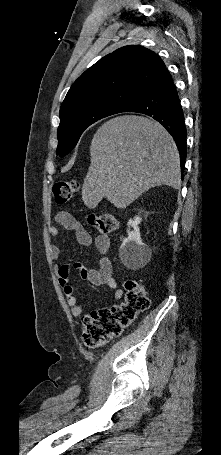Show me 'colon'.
Returning a JSON list of instances; mask_svg holds the SVG:
<instances>
[{
  "mask_svg": "<svg viewBox=\"0 0 221 455\" xmlns=\"http://www.w3.org/2000/svg\"><path fill=\"white\" fill-rule=\"evenodd\" d=\"M76 180H64L53 186L52 193L57 205L68 203L78 192ZM88 223L99 233L109 234L119 228L118 218L111 213L92 214ZM126 295L120 304L92 312L85 318L84 344L89 348L102 346L108 340L118 337L150 306V300L142 283L128 280Z\"/></svg>",
  "mask_w": 221,
  "mask_h": 455,
  "instance_id": "obj_1",
  "label": "colon"
}]
</instances>
